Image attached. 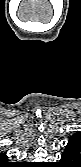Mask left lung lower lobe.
Wrapping results in <instances>:
<instances>
[{"label":"left lung lower lobe","mask_w":81,"mask_h":167,"mask_svg":"<svg viewBox=\"0 0 81 167\" xmlns=\"http://www.w3.org/2000/svg\"><path fill=\"white\" fill-rule=\"evenodd\" d=\"M81 160V142L76 140H69L64 153L61 157L60 164L65 167H78Z\"/></svg>","instance_id":"1"}]
</instances>
